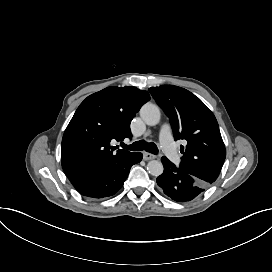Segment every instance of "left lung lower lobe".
<instances>
[{
    "mask_svg": "<svg viewBox=\"0 0 272 272\" xmlns=\"http://www.w3.org/2000/svg\"><path fill=\"white\" fill-rule=\"evenodd\" d=\"M161 161L164 172L157 178V184L163 192L176 202L191 201L209 187L194 176L176 167L166 157Z\"/></svg>",
    "mask_w": 272,
    "mask_h": 272,
    "instance_id": "1",
    "label": "left lung lower lobe"
}]
</instances>
